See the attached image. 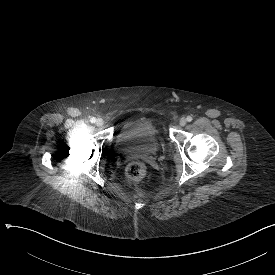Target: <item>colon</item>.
<instances>
[{
	"mask_svg": "<svg viewBox=\"0 0 275 275\" xmlns=\"http://www.w3.org/2000/svg\"><path fill=\"white\" fill-rule=\"evenodd\" d=\"M127 177L133 181H142L146 179L148 172L144 164L132 162L126 168Z\"/></svg>",
	"mask_w": 275,
	"mask_h": 275,
	"instance_id": "obj_1",
	"label": "colon"
}]
</instances>
